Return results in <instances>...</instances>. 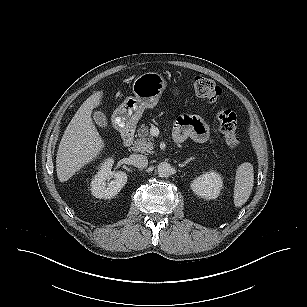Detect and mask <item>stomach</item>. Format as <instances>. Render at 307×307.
<instances>
[{"label": "stomach", "instance_id": "obj_1", "mask_svg": "<svg viewBox=\"0 0 307 307\" xmlns=\"http://www.w3.org/2000/svg\"><path fill=\"white\" fill-rule=\"evenodd\" d=\"M167 83L161 74L147 72L138 76L133 84L134 96L127 97L112 114V122L116 129L125 130L135 127L146 108L157 105L166 89ZM178 90H174L175 95Z\"/></svg>", "mask_w": 307, "mask_h": 307}]
</instances>
